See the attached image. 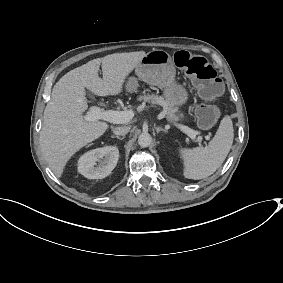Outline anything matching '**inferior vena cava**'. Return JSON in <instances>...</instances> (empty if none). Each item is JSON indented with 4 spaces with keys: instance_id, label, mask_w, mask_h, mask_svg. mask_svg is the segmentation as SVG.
Returning <instances> with one entry per match:
<instances>
[{
    "instance_id": "1",
    "label": "inferior vena cava",
    "mask_w": 283,
    "mask_h": 283,
    "mask_svg": "<svg viewBox=\"0 0 283 283\" xmlns=\"http://www.w3.org/2000/svg\"><path fill=\"white\" fill-rule=\"evenodd\" d=\"M130 131V127L129 126H123V127H116L113 130V133L116 135H126L128 132Z\"/></svg>"
}]
</instances>
